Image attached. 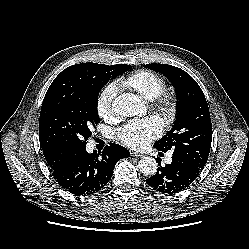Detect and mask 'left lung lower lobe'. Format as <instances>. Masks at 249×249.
Listing matches in <instances>:
<instances>
[{
  "label": "left lung lower lobe",
  "instance_id": "1",
  "mask_svg": "<svg viewBox=\"0 0 249 249\" xmlns=\"http://www.w3.org/2000/svg\"><path fill=\"white\" fill-rule=\"evenodd\" d=\"M157 161L160 167L155 175L146 179V183L163 194H174L184 190L201 171L184 157L175 154L172 156V163L166 166H161L159 159Z\"/></svg>",
  "mask_w": 249,
  "mask_h": 249
}]
</instances>
